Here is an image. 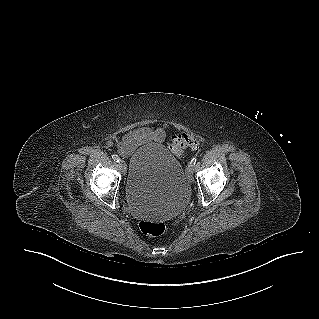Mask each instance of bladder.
<instances>
[{
    "instance_id": "bladder-1",
    "label": "bladder",
    "mask_w": 319,
    "mask_h": 319,
    "mask_svg": "<svg viewBox=\"0 0 319 319\" xmlns=\"http://www.w3.org/2000/svg\"><path fill=\"white\" fill-rule=\"evenodd\" d=\"M189 196L185 170L164 145L150 143L132 154L125 198L134 213L142 217L169 216L181 210Z\"/></svg>"
}]
</instances>
